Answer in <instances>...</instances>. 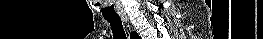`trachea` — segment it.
Returning <instances> with one entry per match:
<instances>
[{
  "label": "trachea",
  "mask_w": 263,
  "mask_h": 39,
  "mask_svg": "<svg viewBox=\"0 0 263 39\" xmlns=\"http://www.w3.org/2000/svg\"><path fill=\"white\" fill-rule=\"evenodd\" d=\"M111 26L114 39H127L120 18H105Z\"/></svg>",
  "instance_id": "obj_1"
}]
</instances>
